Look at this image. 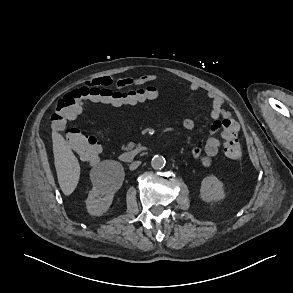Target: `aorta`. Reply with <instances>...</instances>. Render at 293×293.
<instances>
[{
    "instance_id": "1",
    "label": "aorta",
    "mask_w": 293,
    "mask_h": 293,
    "mask_svg": "<svg viewBox=\"0 0 293 293\" xmlns=\"http://www.w3.org/2000/svg\"><path fill=\"white\" fill-rule=\"evenodd\" d=\"M165 164L166 160L163 156L156 155L151 160V166L156 170L164 168Z\"/></svg>"
}]
</instances>
